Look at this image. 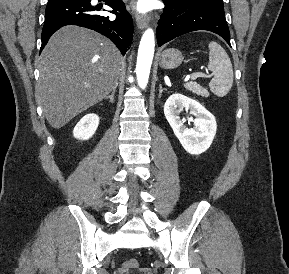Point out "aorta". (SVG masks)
I'll use <instances>...</instances> for the list:
<instances>
[{
    "label": "aorta",
    "mask_w": 289,
    "mask_h": 274,
    "mask_svg": "<svg viewBox=\"0 0 289 274\" xmlns=\"http://www.w3.org/2000/svg\"><path fill=\"white\" fill-rule=\"evenodd\" d=\"M155 36L152 29H147L138 49L136 75L140 88L145 89L149 80L151 64L154 55Z\"/></svg>",
    "instance_id": "762f6f07"
}]
</instances>
